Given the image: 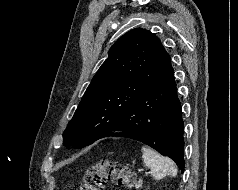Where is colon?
Here are the masks:
<instances>
[{"mask_svg":"<svg viewBox=\"0 0 238 190\" xmlns=\"http://www.w3.org/2000/svg\"><path fill=\"white\" fill-rule=\"evenodd\" d=\"M108 181L131 188L136 184L137 175L127 165L103 159L88 169L81 190H103Z\"/></svg>","mask_w":238,"mask_h":190,"instance_id":"5ec220e1","label":"colon"}]
</instances>
